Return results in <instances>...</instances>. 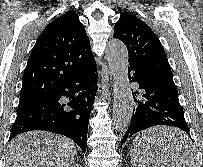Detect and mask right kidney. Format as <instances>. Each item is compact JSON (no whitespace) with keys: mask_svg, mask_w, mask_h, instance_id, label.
<instances>
[{"mask_svg":"<svg viewBox=\"0 0 203 167\" xmlns=\"http://www.w3.org/2000/svg\"><path fill=\"white\" fill-rule=\"evenodd\" d=\"M72 167H81V165L76 164V165H74V166H72Z\"/></svg>","mask_w":203,"mask_h":167,"instance_id":"ca27d5eb","label":"right kidney"}]
</instances>
